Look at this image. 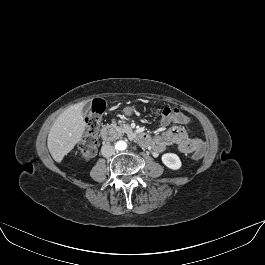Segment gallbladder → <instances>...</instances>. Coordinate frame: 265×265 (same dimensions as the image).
Listing matches in <instances>:
<instances>
[{"mask_svg": "<svg viewBox=\"0 0 265 265\" xmlns=\"http://www.w3.org/2000/svg\"><path fill=\"white\" fill-rule=\"evenodd\" d=\"M90 110V105L89 104H85L82 110L83 115H87V113Z\"/></svg>", "mask_w": 265, "mask_h": 265, "instance_id": "bac80fb5", "label": "gallbladder"}]
</instances>
